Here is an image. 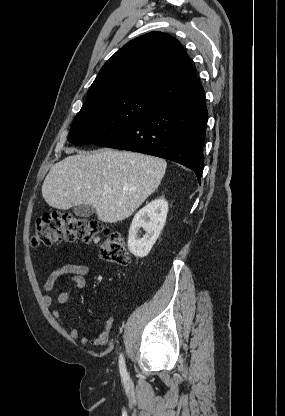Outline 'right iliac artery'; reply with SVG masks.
<instances>
[{
	"mask_svg": "<svg viewBox=\"0 0 285 416\" xmlns=\"http://www.w3.org/2000/svg\"><path fill=\"white\" fill-rule=\"evenodd\" d=\"M119 369H120L121 376L124 379H127L128 374H127L126 367H125V360L122 354L120 355V358H119Z\"/></svg>",
	"mask_w": 285,
	"mask_h": 416,
	"instance_id": "1",
	"label": "right iliac artery"
}]
</instances>
